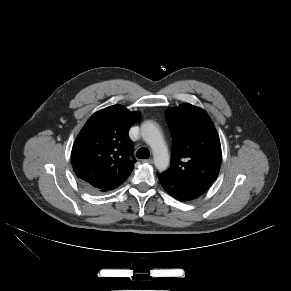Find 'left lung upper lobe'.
<instances>
[{
  "instance_id": "1",
  "label": "left lung upper lobe",
  "mask_w": 291,
  "mask_h": 291,
  "mask_svg": "<svg viewBox=\"0 0 291 291\" xmlns=\"http://www.w3.org/2000/svg\"><path fill=\"white\" fill-rule=\"evenodd\" d=\"M173 136L171 165L166 174L208 189L219 174L221 146L209 115L191 104L166 110Z\"/></svg>"
}]
</instances>
